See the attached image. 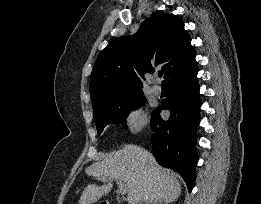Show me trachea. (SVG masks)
<instances>
[{
  "label": "trachea",
  "instance_id": "3493384b",
  "mask_svg": "<svg viewBox=\"0 0 261 204\" xmlns=\"http://www.w3.org/2000/svg\"><path fill=\"white\" fill-rule=\"evenodd\" d=\"M158 76L162 77L163 76V72H158ZM164 83V82H163Z\"/></svg>",
  "mask_w": 261,
  "mask_h": 204
}]
</instances>
